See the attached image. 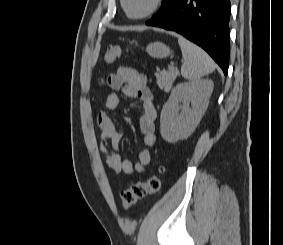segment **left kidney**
Instances as JSON below:
<instances>
[{"instance_id": "left-kidney-1", "label": "left kidney", "mask_w": 283, "mask_h": 245, "mask_svg": "<svg viewBox=\"0 0 283 245\" xmlns=\"http://www.w3.org/2000/svg\"><path fill=\"white\" fill-rule=\"evenodd\" d=\"M213 87L212 80L202 79L180 83L172 90L160 115V132L166 142L176 143L193 133L208 107Z\"/></svg>"}]
</instances>
